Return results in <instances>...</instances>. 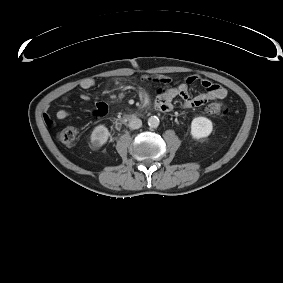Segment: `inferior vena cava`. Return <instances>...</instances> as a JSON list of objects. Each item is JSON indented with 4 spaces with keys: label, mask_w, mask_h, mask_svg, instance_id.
<instances>
[{
    "label": "inferior vena cava",
    "mask_w": 283,
    "mask_h": 283,
    "mask_svg": "<svg viewBox=\"0 0 283 283\" xmlns=\"http://www.w3.org/2000/svg\"><path fill=\"white\" fill-rule=\"evenodd\" d=\"M128 126L131 128V129H138L142 126V121L139 119V118H132L130 121H129V124Z\"/></svg>",
    "instance_id": "obj_1"
}]
</instances>
